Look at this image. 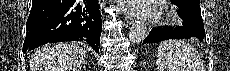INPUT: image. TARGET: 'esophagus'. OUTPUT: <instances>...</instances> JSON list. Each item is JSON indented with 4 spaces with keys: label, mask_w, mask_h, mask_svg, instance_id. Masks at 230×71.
I'll list each match as a JSON object with an SVG mask.
<instances>
[{
    "label": "esophagus",
    "mask_w": 230,
    "mask_h": 71,
    "mask_svg": "<svg viewBox=\"0 0 230 71\" xmlns=\"http://www.w3.org/2000/svg\"><path fill=\"white\" fill-rule=\"evenodd\" d=\"M125 22L127 24H132L134 22V18L127 12H125Z\"/></svg>",
    "instance_id": "esophagus-1"
}]
</instances>
